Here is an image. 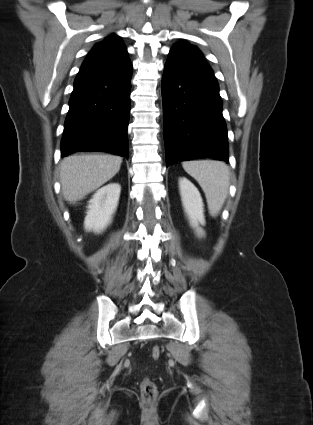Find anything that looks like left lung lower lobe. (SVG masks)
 I'll return each instance as SVG.
<instances>
[{"label": "left lung lower lobe", "mask_w": 313, "mask_h": 425, "mask_svg": "<svg viewBox=\"0 0 313 425\" xmlns=\"http://www.w3.org/2000/svg\"><path fill=\"white\" fill-rule=\"evenodd\" d=\"M166 165L211 157L228 162L227 128L212 70L168 57L162 78Z\"/></svg>", "instance_id": "0a47b994"}]
</instances>
